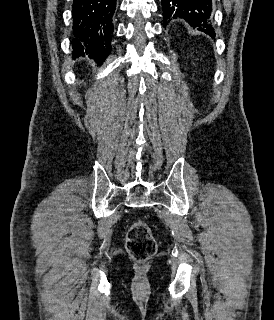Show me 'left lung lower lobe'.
Wrapping results in <instances>:
<instances>
[{
    "label": "left lung lower lobe",
    "instance_id": "left-lung-lower-lobe-1",
    "mask_svg": "<svg viewBox=\"0 0 274 320\" xmlns=\"http://www.w3.org/2000/svg\"><path fill=\"white\" fill-rule=\"evenodd\" d=\"M163 22L182 18L193 27L215 37L212 28V0H162Z\"/></svg>",
    "mask_w": 274,
    "mask_h": 320
}]
</instances>
